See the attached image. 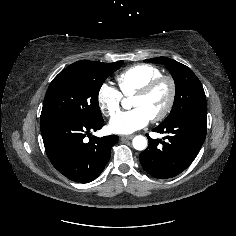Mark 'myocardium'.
I'll return each instance as SVG.
<instances>
[{
  "label": "myocardium",
  "instance_id": "f54148a6",
  "mask_svg": "<svg viewBox=\"0 0 236 236\" xmlns=\"http://www.w3.org/2000/svg\"><path fill=\"white\" fill-rule=\"evenodd\" d=\"M167 84L169 88L168 99L164 109L157 115L151 118L153 122H159L164 120L172 111L176 94H177V85L174 78L170 75H160L155 79L149 81L141 89H139L133 97H147L149 96L158 86L161 84Z\"/></svg>",
  "mask_w": 236,
  "mask_h": 236
}]
</instances>
